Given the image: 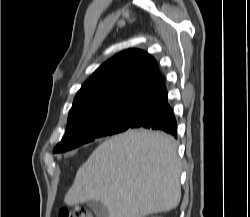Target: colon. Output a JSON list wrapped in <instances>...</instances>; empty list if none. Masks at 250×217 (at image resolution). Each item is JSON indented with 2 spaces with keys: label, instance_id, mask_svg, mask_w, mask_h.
I'll return each mask as SVG.
<instances>
[{
  "label": "colon",
  "instance_id": "obj_1",
  "mask_svg": "<svg viewBox=\"0 0 250 217\" xmlns=\"http://www.w3.org/2000/svg\"><path fill=\"white\" fill-rule=\"evenodd\" d=\"M58 217H93L92 214L84 208L63 209Z\"/></svg>",
  "mask_w": 250,
  "mask_h": 217
}]
</instances>
